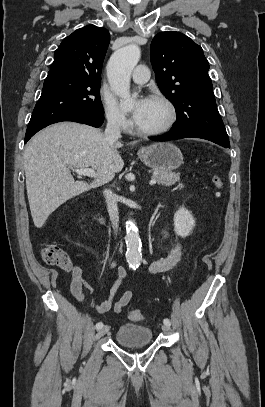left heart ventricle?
Here are the masks:
<instances>
[{"mask_svg":"<svg viewBox=\"0 0 265 407\" xmlns=\"http://www.w3.org/2000/svg\"><path fill=\"white\" fill-rule=\"evenodd\" d=\"M168 118V111L161 102L149 99L141 117L135 121L138 128L152 130L161 127Z\"/></svg>","mask_w":265,"mask_h":407,"instance_id":"obj_1","label":"left heart ventricle"}]
</instances>
